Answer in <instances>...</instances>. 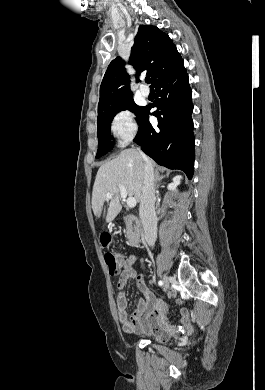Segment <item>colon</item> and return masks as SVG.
Masks as SVG:
<instances>
[{"mask_svg":"<svg viewBox=\"0 0 265 390\" xmlns=\"http://www.w3.org/2000/svg\"><path fill=\"white\" fill-rule=\"evenodd\" d=\"M113 242V239L110 235H105L103 237V244L105 246H110ZM104 261L107 265L108 272L110 275H117L120 271L122 259L114 251H106L104 253Z\"/></svg>","mask_w":265,"mask_h":390,"instance_id":"obj_1","label":"colon"}]
</instances>
